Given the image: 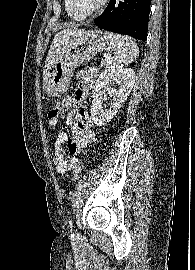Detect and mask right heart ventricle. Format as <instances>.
<instances>
[{
    "mask_svg": "<svg viewBox=\"0 0 195 270\" xmlns=\"http://www.w3.org/2000/svg\"><path fill=\"white\" fill-rule=\"evenodd\" d=\"M64 7H65V11L67 13V15L73 19V20H76V21H81L83 20L82 18L78 17L76 14H74L70 8H69V5H68V0H64Z\"/></svg>",
    "mask_w": 195,
    "mask_h": 270,
    "instance_id": "right-heart-ventricle-1",
    "label": "right heart ventricle"
}]
</instances>
